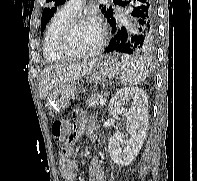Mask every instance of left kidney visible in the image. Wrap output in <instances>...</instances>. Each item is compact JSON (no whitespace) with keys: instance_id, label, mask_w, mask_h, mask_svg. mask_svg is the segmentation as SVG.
<instances>
[{"instance_id":"5707ae66","label":"left kidney","mask_w":197,"mask_h":181,"mask_svg":"<svg viewBox=\"0 0 197 181\" xmlns=\"http://www.w3.org/2000/svg\"><path fill=\"white\" fill-rule=\"evenodd\" d=\"M130 101H132V107L127 112L123 105ZM109 112L116 117L126 116V140L120 135L110 137L108 151L117 165L128 166L138 155L147 134L149 115L145 91L137 87L118 90L110 100Z\"/></svg>"}]
</instances>
